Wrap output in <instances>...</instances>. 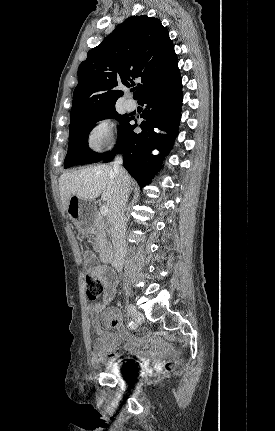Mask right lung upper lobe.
Masks as SVG:
<instances>
[{"instance_id": "right-lung-upper-lobe-1", "label": "right lung upper lobe", "mask_w": 275, "mask_h": 431, "mask_svg": "<svg viewBox=\"0 0 275 431\" xmlns=\"http://www.w3.org/2000/svg\"><path fill=\"white\" fill-rule=\"evenodd\" d=\"M178 69L168 30L146 15L127 18L100 45L91 49L78 68L70 122L115 107L123 92L139 79L133 98L139 100Z\"/></svg>"}]
</instances>
